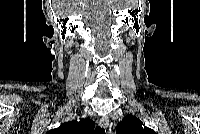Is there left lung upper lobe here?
Masks as SVG:
<instances>
[{
  "mask_svg": "<svg viewBox=\"0 0 200 134\" xmlns=\"http://www.w3.org/2000/svg\"><path fill=\"white\" fill-rule=\"evenodd\" d=\"M117 134H156V132L146 126L135 116L127 115L116 127Z\"/></svg>",
  "mask_w": 200,
  "mask_h": 134,
  "instance_id": "5c2ea615",
  "label": "left lung upper lobe"
}]
</instances>
